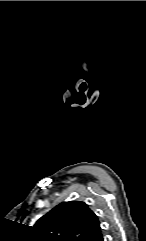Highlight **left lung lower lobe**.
Returning <instances> with one entry per match:
<instances>
[{
	"label": "left lung lower lobe",
	"instance_id": "0a47b994",
	"mask_svg": "<svg viewBox=\"0 0 146 241\" xmlns=\"http://www.w3.org/2000/svg\"><path fill=\"white\" fill-rule=\"evenodd\" d=\"M85 241H104L101 228L95 234L87 237Z\"/></svg>",
	"mask_w": 146,
	"mask_h": 241
}]
</instances>
